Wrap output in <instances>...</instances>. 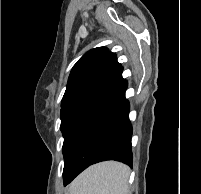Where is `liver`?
I'll use <instances>...</instances> for the list:
<instances>
[{"label":"liver","instance_id":"6515ba94","mask_svg":"<svg viewBox=\"0 0 201 194\" xmlns=\"http://www.w3.org/2000/svg\"><path fill=\"white\" fill-rule=\"evenodd\" d=\"M128 166L106 161L90 166L69 186L70 194H129Z\"/></svg>","mask_w":201,"mask_h":194}]
</instances>
